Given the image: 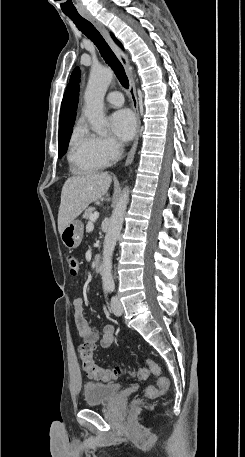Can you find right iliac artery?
I'll list each match as a JSON object with an SVG mask.
<instances>
[{"instance_id":"obj_1","label":"right iliac artery","mask_w":245,"mask_h":457,"mask_svg":"<svg viewBox=\"0 0 245 457\" xmlns=\"http://www.w3.org/2000/svg\"><path fill=\"white\" fill-rule=\"evenodd\" d=\"M108 291H109V289H108V288H107V289H105V293H106V296H107V294H108Z\"/></svg>"}]
</instances>
